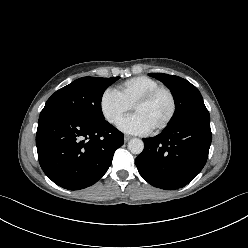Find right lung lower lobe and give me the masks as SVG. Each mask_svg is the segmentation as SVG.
<instances>
[{
    "label": "right lung lower lobe",
    "mask_w": 248,
    "mask_h": 248,
    "mask_svg": "<svg viewBox=\"0 0 248 248\" xmlns=\"http://www.w3.org/2000/svg\"><path fill=\"white\" fill-rule=\"evenodd\" d=\"M123 133L105 120L67 112L40 115L36 146L40 166L57 185L78 190L93 185L108 170Z\"/></svg>",
    "instance_id": "98d812e1"
}]
</instances>
